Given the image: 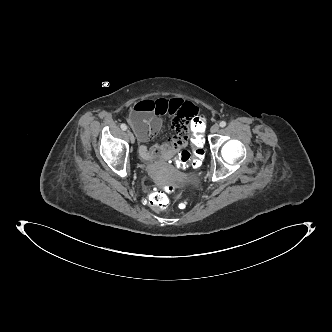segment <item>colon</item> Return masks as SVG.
I'll return each instance as SVG.
<instances>
[{"instance_id": "obj_1", "label": "colon", "mask_w": 332, "mask_h": 332, "mask_svg": "<svg viewBox=\"0 0 332 332\" xmlns=\"http://www.w3.org/2000/svg\"><path fill=\"white\" fill-rule=\"evenodd\" d=\"M191 130V151L184 149L172 158V163L177 169H192L200 168L204 159L208 157L209 150L205 147V140L203 138V123L200 118L193 117L189 121ZM173 185L166 187L167 192H172ZM168 198L165 193L158 191L154 192L149 197V205L157 211H164L168 207ZM182 207L185 204H181Z\"/></svg>"}]
</instances>
